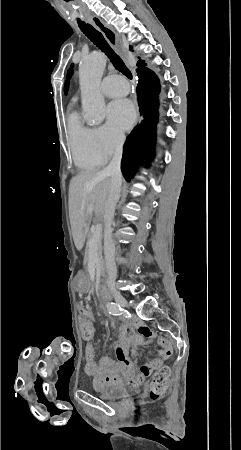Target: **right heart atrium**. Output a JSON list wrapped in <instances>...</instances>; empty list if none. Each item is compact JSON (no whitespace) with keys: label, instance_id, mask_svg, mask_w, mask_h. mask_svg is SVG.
Masks as SVG:
<instances>
[{"label":"right heart atrium","instance_id":"d8ad5b80","mask_svg":"<svg viewBox=\"0 0 241 450\" xmlns=\"http://www.w3.org/2000/svg\"><path fill=\"white\" fill-rule=\"evenodd\" d=\"M91 136L94 140L96 152L101 154L105 159L111 158L115 153L117 155H124L126 153V148L122 146L123 137L107 127H99L98 131L94 130L91 133ZM112 151H115V153Z\"/></svg>","mask_w":241,"mask_h":450}]
</instances>
